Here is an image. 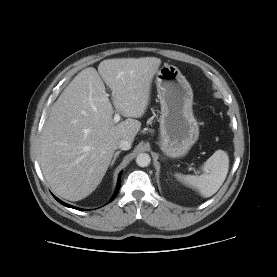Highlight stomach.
Listing matches in <instances>:
<instances>
[{"label":"stomach","instance_id":"1","mask_svg":"<svg viewBox=\"0 0 277 277\" xmlns=\"http://www.w3.org/2000/svg\"><path fill=\"white\" fill-rule=\"evenodd\" d=\"M155 82L161 104L160 148L168 157H183L199 136L192 88L180 70L169 64L157 71Z\"/></svg>","mask_w":277,"mask_h":277}]
</instances>
